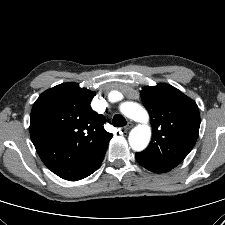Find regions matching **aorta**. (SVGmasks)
<instances>
[{"label": "aorta", "mask_w": 225, "mask_h": 225, "mask_svg": "<svg viewBox=\"0 0 225 225\" xmlns=\"http://www.w3.org/2000/svg\"><path fill=\"white\" fill-rule=\"evenodd\" d=\"M120 111L128 118L142 124L134 127L129 134V144L134 151L144 150L151 138V128L147 124L149 115L147 111L139 104L134 102H125L120 106Z\"/></svg>", "instance_id": "obj_1"}]
</instances>
